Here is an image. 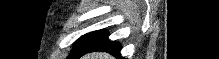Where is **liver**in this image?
Segmentation results:
<instances>
[{
	"label": "liver",
	"instance_id": "1",
	"mask_svg": "<svg viewBox=\"0 0 219 59\" xmlns=\"http://www.w3.org/2000/svg\"><path fill=\"white\" fill-rule=\"evenodd\" d=\"M82 59H114L111 55L103 52H94L85 55Z\"/></svg>",
	"mask_w": 219,
	"mask_h": 59
}]
</instances>
